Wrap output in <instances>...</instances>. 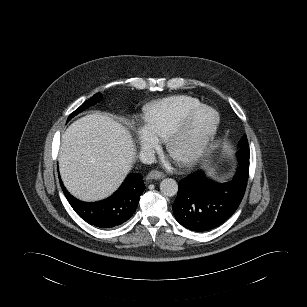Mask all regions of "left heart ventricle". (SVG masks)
<instances>
[{
	"mask_svg": "<svg viewBox=\"0 0 307 307\" xmlns=\"http://www.w3.org/2000/svg\"><path fill=\"white\" fill-rule=\"evenodd\" d=\"M213 122V114L204 110L199 112L191 121L189 128L184 137L178 141L173 149L172 155L176 158L182 157L211 126Z\"/></svg>",
	"mask_w": 307,
	"mask_h": 307,
	"instance_id": "obj_1",
	"label": "left heart ventricle"
}]
</instances>
